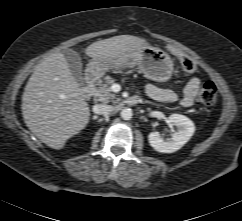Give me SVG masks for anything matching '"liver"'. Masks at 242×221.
<instances>
[{
  "mask_svg": "<svg viewBox=\"0 0 242 221\" xmlns=\"http://www.w3.org/2000/svg\"><path fill=\"white\" fill-rule=\"evenodd\" d=\"M142 46L149 44L136 36L120 35L90 44L85 53L94 59H114ZM22 114L29 130L56 150L86 127L90 110L62 52L36 66L22 96Z\"/></svg>",
  "mask_w": 242,
  "mask_h": 221,
  "instance_id": "1",
  "label": "liver"
}]
</instances>
